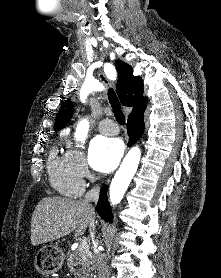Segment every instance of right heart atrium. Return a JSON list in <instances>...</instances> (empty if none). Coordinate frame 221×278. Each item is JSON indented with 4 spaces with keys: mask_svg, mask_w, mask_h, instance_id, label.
Here are the masks:
<instances>
[{
    "mask_svg": "<svg viewBox=\"0 0 221 278\" xmlns=\"http://www.w3.org/2000/svg\"><path fill=\"white\" fill-rule=\"evenodd\" d=\"M67 156L75 172L82 180L91 177V171H90L88 161L85 157V154L80 148L72 144H69Z\"/></svg>",
    "mask_w": 221,
    "mask_h": 278,
    "instance_id": "1",
    "label": "right heart atrium"
}]
</instances>
